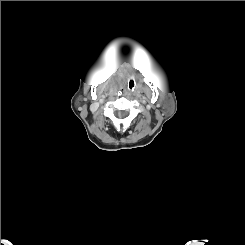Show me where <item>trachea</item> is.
<instances>
[{"mask_svg":"<svg viewBox=\"0 0 245 245\" xmlns=\"http://www.w3.org/2000/svg\"><path fill=\"white\" fill-rule=\"evenodd\" d=\"M136 87V83L133 79H130L127 83V88L130 90V91H134Z\"/></svg>","mask_w":245,"mask_h":245,"instance_id":"obj_1","label":"trachea"}]
</instances>
